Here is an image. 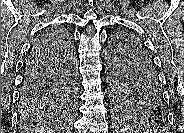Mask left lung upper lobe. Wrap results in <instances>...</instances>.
<instances>
[{
    "label": "left lung upper lobe",
    "mask_w": 184,
    "mask_h": 133,
    "mask_svg": "<svg viewBox=\"0 0 184 133\" xmlns=\"http://www.w3.org/2000/svg\"><path fill=\"white\" fill-rule=\"evenodd\" d=\"M108 73L112 100L121 115L147 127L160 124V115L167 117L165 101L157 104L151 88L157 76L153 60L133 35L114 37L108 50Z\"/></svg>",
    "instance_id": "left-lung-upper-lobe-1"
}]
</instances>
